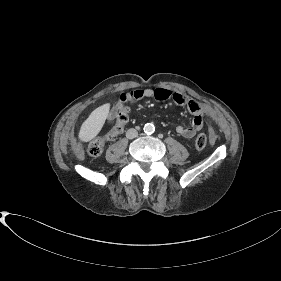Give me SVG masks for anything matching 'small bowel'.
<instances>
[{
    "mask_svg": "<svg viewBox=\"0 0 281 281\" xmlns=\"http://www.w3.org/2000/svg\"><path fill=\"white\" fill-rule=\"evenodd\" d=\"M147 98H154L158 101L172 99L175 104L187 107L189 112L193 115V121L191 126L185 127L182 125H178L175 129L177 134L187 139L193 138L196 133L202 129L205 119L208 116V110L198 101L188 97L187 95L181 92H173L166 88H158L155 90L140 89L133 90L128 93H122L119 97V104H123L125 102L135 103ZM115 116L116 108H112L109 113V119H114Z\"/></svg>",
    "mask_w": 281,
    "mask_h": 281,
    "instance_id": "c3829d8e",
    "label": "small bowel"
}]
</instances>
